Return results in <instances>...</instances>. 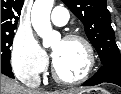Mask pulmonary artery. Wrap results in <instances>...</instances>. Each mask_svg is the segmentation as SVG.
<instances>
[{"label": "pulmonary artery", "instance_id": "pulmonary-artery-1", "mask_svg": "<svg viewBox=\"0 0 121 94\" xmlns=\"http://www.w3.org/2000/svg\"><path fill=\"white\" fill-rule=\"evenodd\" d=\"M69 18L68 10L64 7H55L52 11L51 20L55 25L63 26Z\"/></svg>", "mask_w": 121, "mask_h": 94}]
</instances>
